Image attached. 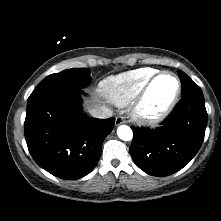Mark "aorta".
I'll use <instances>...</instances> for the list:
<instances>
[{
    "label": "aorta",
    "mask_w": 221,
    "mask_h": 221,
    "mask_svg": "<svg viewBox=\"0 0 221 221\" xmlns=\"http://www.w3.org/2000/svg\"><path fill=\"white\" fill-rule=\"evenodd\" d=\"M117 135L121 140L129 141L133 138V132L127 125H120L117 128Z\"/></svg>",
    "instance_id": "1"
}]
</instances>
